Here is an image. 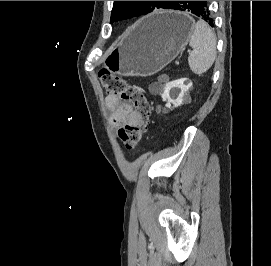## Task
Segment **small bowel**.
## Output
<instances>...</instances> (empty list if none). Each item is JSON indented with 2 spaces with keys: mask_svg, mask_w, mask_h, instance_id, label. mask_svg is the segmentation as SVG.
I'll return each mask as SVG.
<instances>
[{
  "mask_svg": "<svg viewBox=\"0 0 271 266\" xmlns=\"http://www.w3.org/2000/svg\"><path fill=\"white\" fill-rule=\"evenodd\" d=\"M106 105L111 111V124L113 127H122L127 124L132 125L139 119L133 107L129 103L121 101L116 96L108 95L106 97Z\"/></svg>",
  "mask_w": 271,
  "mask_h": 266,
  "instance_id": "1",
  "label": "small bowel"
}]
</instances>
